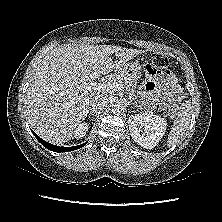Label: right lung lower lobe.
Segmentation results:
<instances>
[{"mask_svg": "<svg viewBox=\"0 0 222 222\" xmlns=\"http://www.w3.org/2000/svg\"><path fill=\"white\" fill-rule=\"evenodd\" d=\"M32 133L34 134V136L37 138V140L43 145L45 146L47 149L54 151V152H67V151H73L76 150L78 148L83 147L86 143L78 145V146H74V147H60V146H55L53 144H50L46 141H44L43 139H41L36 133H34L32 131Z\"/></svg>", "mask_w": 222, "mask_h": 222, "instance_id": "obj_1", "label": "right lung lower lobe"}]
</instances>
